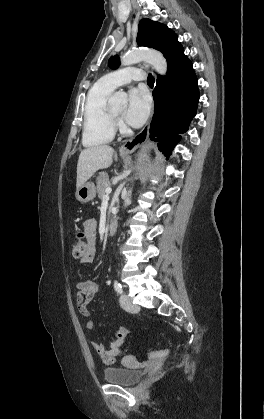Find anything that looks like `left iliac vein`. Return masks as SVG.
Returning a JSON list of instances; mask_svg holds the SVG:
<instances>
[{
	"label": "left iliac vein",
	"mask_w": 264,
	"mask_h": 419,
	"mask_svg": "<svg viewBox=\"0 0 264 419\" xmlns=\"http://www.w3.org/2000/svg\"><path fill=\"white\" fill-rule=\"evenodd\" d=\"M120 304L122 308L128 312H137L139 310V306L134 304L132 299L127 296L126 294H122L120 296Z\"/></svg>",
	"instance_id": "left-iliac-vein-1"
}]
</instances>
